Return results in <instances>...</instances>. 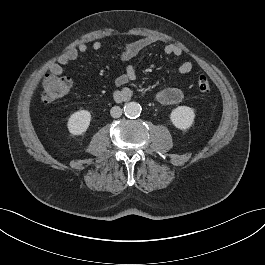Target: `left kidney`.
Returning <instances> with one entry per match:
<instances>
[{"mask_svg": "<svg viewBox=\"0 0 265 265\" xmlns=\"http://www.w3.org/2000/svg\"><path fill=\"white\" fill-rule=\"evenodd\" d=\"M194 118L195 112L188 106H179L170 114L172 124L180 130L189 129L194 123Z\"/></svg>", "mask_w": 265, "mask_h": 265, "instance_id": "1", "label": "left kidney"}]
</instances>
